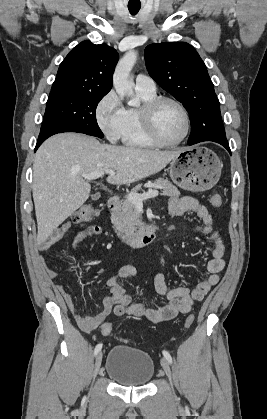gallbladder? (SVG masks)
I'll list each match as a JSON object with an SVG mask.
<instances>
[{
	"instance_id": "obj_1",
	"label": "gallbladder",
	"mask_w": 267,
	"mask_h": 419,
	"mask_svg": "<svg viewBox=\"0 0 267 419\" xmlns=\"http://www.w3.org/2000/svg\"><path fill=\"white\" fill-rule=\"evenodd\" d=\"M94 197H95V198H99V197H100V195H99V194H95V195H94Z\"/></svg>"
}]
</instances>
